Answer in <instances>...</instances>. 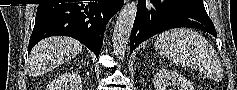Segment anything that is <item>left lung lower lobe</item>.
<instances>
[{
    "label": "left lung lower lobe",
    "instance_id": "0a47b994",
    "mask_svg": "<svg viewBox=\"0 0 237 90\" xmlns=\"http://www.w3.org/2000/svg\"><path fill=\"white\" fill-rule=\"evenodd\" d=\"M193 27L217 37L202 0H139L130 50L164 30Z\"/></svg>",
    "mask_w": 237,
    "mask_h": 90
}]
</instances>
